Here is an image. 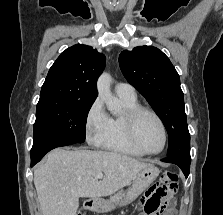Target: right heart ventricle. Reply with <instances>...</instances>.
<instances>
[{
	"label": "right heart ventricle",
	"instance_id": "obj_1",
	"mask_svg": "<svg viewBox=\"0 0 223 215\" xmlns=\"http://www.w3.org/2000/svg\"><path fill=\"white\" fill-rule=\"evenodd\" d=\"M125 109L122 114H113L109 116V126L105 134L100 139V145L107 150L131 155L139 156L136 150L130 145L126 133V115L131 110L139 107L135 99L121 97Z\"/></svg>",
	"mask_w": 223,
	"mask_h": 215
}]
</instances>
